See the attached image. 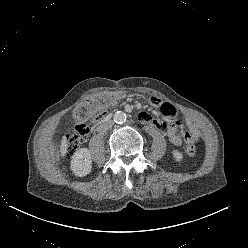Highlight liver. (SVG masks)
<instances>
[{
  "mask_svg": "<svg viewBox=\"0 0 248 248\" xmlns=\"http://www.w3.org/2000/svg\"><path fill=\"white\" fill-rule=\"evenodd\" d=\"M66 142H65V140H63L62 142H61V144H60V150H59V154H60V156H64L65 155V153H66Z\"/></svg>",
  "mask_w": 248,
  "mask_h": 248,
  "instance_id": "1",
  "label": "liver"
}]
</instances>
